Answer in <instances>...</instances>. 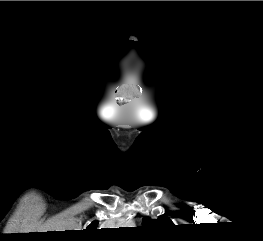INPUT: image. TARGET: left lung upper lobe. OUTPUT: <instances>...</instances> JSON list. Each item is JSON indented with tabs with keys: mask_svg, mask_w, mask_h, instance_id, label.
I'll return each instance as SVG.
<instances>
[{
	"mask_svg": "<svg viewBox=\"0 0 263 241\" xmlns=\"http://www.w3.org/2000/svg\"><path fill=\"white\" fill-rule=\"evenodd\" d=\"M143 225L147 228L160 229L164 227H169L173 225V223L169 218L166 217H159L158 219H151L149 217H145L143 219Z\"/></svg>",
	"mask_w": 263,
	"mask_h": 241,
	"instance_id": "1",
	"label": "left lung upper lobe"
}]
</instances>
